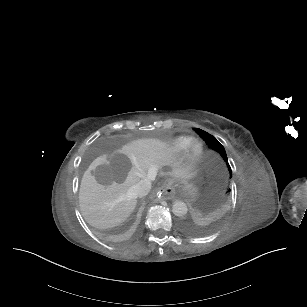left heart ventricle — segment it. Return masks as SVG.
Here are the masks:
<instances>
[{
	"label": "left heart ventricle",
	"mask_w": 307,
	"mask_h": 307,
	"mask_svg": "<svg viewBox=\"0 0 307 307\" xmlns=\"http://www.w3.org/2000/svg\"><path fill=\"white\" fill-rule=\"evenodd\" d=\"M199 150H200V147L197 145V146H195V148H194V153H198L199 152Z\"/></svg>",
	"instance_id": "1"
}]
</instances>
